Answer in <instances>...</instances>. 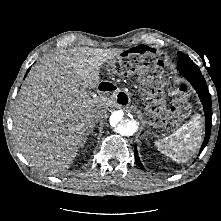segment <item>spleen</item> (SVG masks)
<instances>
[{
	"label": "spleen",
	"instance_id": "1",
	"mask_svg": "<svg viewBox=\"0 0 221 221\" xmlns=\"http://www.w3.org/2000/svg\"><path fill=\"white\" fill-rule=\"evenodd\" d=\"M202 124L199 115L182 125L168 137L155 142L158 150L177 162H186L201 142Z\"/></svg>",
	"mask_w": 221,
	"mask_h": 221
}]
</instances>
